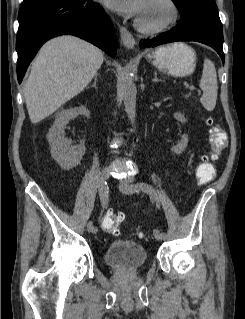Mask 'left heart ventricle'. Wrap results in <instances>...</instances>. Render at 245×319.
Returning <instances> with one entry per match:
<instances>
[{
  "mask_svg": "<svg viewBox=\"0 0 245 319\" xmlns=\"http://www.w3.org/2000/svg\"><path fill=\"white\" fill-rule=\"evenodd\" d=\"M170 16L169 9L160 0H148L139 19L146 24H160Z\"/></svg>",
  "mask_w": 245,
  "mask_h": 319,
  "instance_id": "b2bd125f",
  "label": "left heart ventricle"
}]
</instances>
